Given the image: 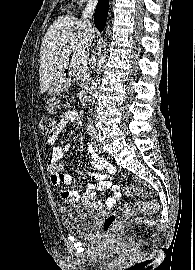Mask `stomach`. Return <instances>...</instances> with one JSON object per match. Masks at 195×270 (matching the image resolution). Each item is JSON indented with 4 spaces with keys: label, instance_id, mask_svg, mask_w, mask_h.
I'll return each instance as SVG.
<instances>
[{
    "label": "stomach",
    "instance_id": "stomach-1",
    "mask_svg": "<svg viewBox=\"0 0 195 270\" xmlns=\"http://www.w3.org/2000/svg\"><path fill=\"white\" fill-rule=\"evenodd\" d=\"M70 84V78L63 73L57 78L53 85L49 88L48 94L50 96H55L60 94L64 89H66Z\"/></svg>",
    "mask_w": 195,
    "mask_h": 270
}]
</instances>
